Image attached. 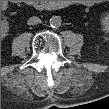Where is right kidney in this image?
Masks as SVG:
<instances>
[{
    "label": "right kidney",
    "mask_w": 109,
    "mask_h": 109,
    "mask_svg": "<svg viewBox=\"0 0 109 109\" xmlns=\"http://www.w3.org/2000/svg\"><path fill=\"white\" fill-rule=\"evenodd\" d=\"M8 29H9L8 23H6V24L3 23V24H2V36L7 35Z\"/></svg>",
    "instance_id": "obj_1"
}]
</instances>
